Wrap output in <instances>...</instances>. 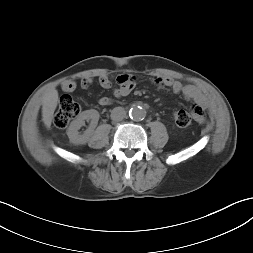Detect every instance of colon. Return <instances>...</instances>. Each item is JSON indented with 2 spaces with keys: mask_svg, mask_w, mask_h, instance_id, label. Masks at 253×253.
<instances>
[{
  "mask_svg": "<svg viewBox=\"0 0 253 253\" xmlns=\"http://www.w3.org/2000/svg\"><path fill=\"white\" fill-rule=\"evenodd\" d=\"M80 106L69 95H63L59 101V107L54 115L53 123L58 128L66 127L71 120L78 116ZM172 118L179 127H188L192 124V116L183 109H175Z\"/></svg>",
  "mask_w": 253,
  "mask_h": 253,
  "instance_id": "obj_1",
  "label": "colon"
}]
</instances>
